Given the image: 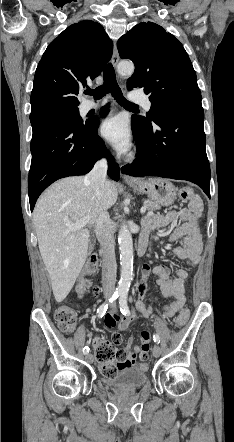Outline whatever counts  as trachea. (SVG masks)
<instances>
[{
	"label": "trachea",
	"mask_w": 234,
	"mask_h": 442,
	"mask_svg": "<svg viewBox=\"0 0 234 442\" xmlns=\"http://www.w3.org/2000/svg\"><path fill=\"white\" fill-rule=\"evenodd\" d=\"M104 83L101 86H98L96 89L86 90L85 94L93 95L94 99H101L107 93H111L112 97L124 107H137L136 104L129 102L124 98L122 91L116 81V75L113 68V65L109 63L104 72H103Z\"/></svg>",
	"instance_id": "3493384b"
}]
</instances>
